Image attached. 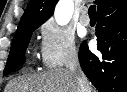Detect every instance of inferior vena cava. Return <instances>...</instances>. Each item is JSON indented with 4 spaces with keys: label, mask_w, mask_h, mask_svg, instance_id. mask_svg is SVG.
Here are the masks:
<instances>
[{
    "label": "inferior vena cava",
    "mask_w": 127,
    "mask_h": 92,
    "mask_svg": "<svg viewBox=\"0 0 127 92\" xmlns=\"http://www.w3.org/2000/svg\"><path fill=\"white\" fill-rule=\"evenodd\" d=\"M67 68L77 74L78 92H88V81L81 71L77 51L74 50L71 52L67 61Z\"/></svg>",
    "instance_id": "1"
}]
</instances>
